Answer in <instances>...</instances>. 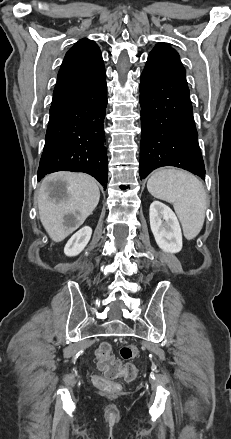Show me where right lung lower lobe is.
<instances>
[{
  "label": "right lung lower lobe",
  "mask_w": 231,
  "mask_h": 439,
  "mask_svg": "<svg viewBox=\"0 0 231 439\" xmlns=\"http://www.w3.org/2000/svg\"><path fill=\"white\" fill-rule=\"evenodd\" d=\"M106 75L52 101L38 180L56 171L85 172L106 189Z\"/></svg>",
  "instance_id": "right-lung-lower-lobe-1"
}]
</instances>
